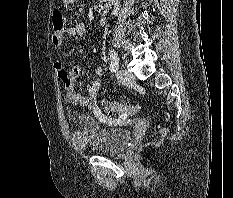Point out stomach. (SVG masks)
Wrapping results in <instances>:
<instances>
[{"instance_id": "1", "label": "stomach", "mask_w": 233, "mask_h": 198, "mask_svg": "<svg viewBox=\"0 0 233 198\" xmlns=\"http://www.w3.org/2000/svg\"><path fill=\"white\" fill-rule=\"evenodd\" d=\"M66 4H73L76 0H63Z\"/></svg>"}]
</instances>
